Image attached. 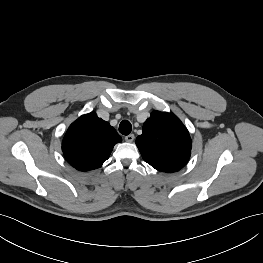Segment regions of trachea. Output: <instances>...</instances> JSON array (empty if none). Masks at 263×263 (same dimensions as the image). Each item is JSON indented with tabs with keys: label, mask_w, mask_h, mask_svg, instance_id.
<instances>
[{
	"label": "trachea",
	"mask_w": 263,
	"mask_h": 263,
	"mask_svg": "<svg viewBox=\"0 0 263 263\" xmlns=\"http://www.w3.org/2000/svg\"><path fill=\"white\" fill-rule=\"evenodd\" d=\"M132 130V125L128 120H123L119 125V132L123 135H129Z\"/></svg>",
	"instance_id": "obj_1"
}]
</instances>
